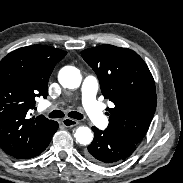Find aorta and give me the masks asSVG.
Wrapping results in <instances>:
<instances>
[{
    "label": "aorta",
    "instance_id": "762f6f07",
    "mask_svg": "<svg viewBox=\"0 0 183 183\" xmlns=\"http://www.w3.org/2000/svg\"><path fill=\"white\" fill-rule=\"evenodd\" d=\"M59 83L69 89H76L80 86L82 76L80 71L74 66L63 67L58 74ZM77 142L83 145H88L93 140V134L88 127L80 126L74 134Z\"/></svg>",
    "mask_w": 183,
    "mask_h": 183
}]
</instances>
